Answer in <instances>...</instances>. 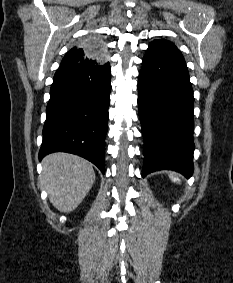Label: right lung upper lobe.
<instances>
[{"label":"right lung upper lobe","instance_id":"right-lung-upper-lobe-1","mask_svg":"<svg viewBox=\"0 0 233 283\" xmlns=\"http://www.w3.org/2000/svg\"><path fill=\"white\" fill-rule=\"evenodd\" d=\"M113 49H107V44H103L98 38H90L87 44H75L62 59L60 66L77 65L84 63L103 64L101 59H108V54H113Z\"/></svg>","mask_w":233,"mask_h":283}]
</instances>
